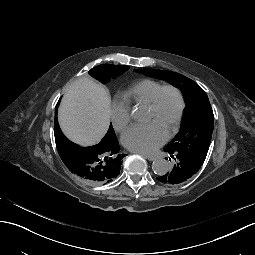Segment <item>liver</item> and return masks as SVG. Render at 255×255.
<instances>
[{"mask_svg": "<svg viewBox=\"0 0 255 255\" xmlns=\"http://www.w3.org/2000/svg\"><path fill=\"white\" fill-rule=\"evenodd\" d=\"M110 113L108 92L96 82L80 78L66 91L59 120L64 133L71 140L93 145L107 131Z\"/></svg>", "mask_w": 255, "mask_h": 255, "instance_id": "liver-1", "label": "liver"}]
</instances>
